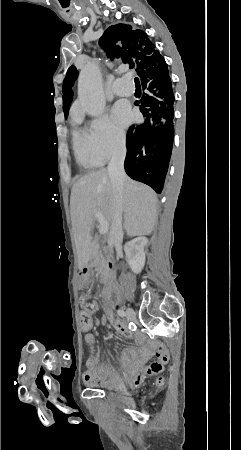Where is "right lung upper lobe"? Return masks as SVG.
<instances>
[{
	"label": "right lung upper lobe",
	"instance_id": "obj_1",
	"mask_svg": "<svg viewBox=\"0 0 241 450\" xmlns=\"http://www.w3.org/2000/svg\"><path fill=\"white\" fill-rule=\"evenodd\" d=\"M99 44L111 59L120 58L137 72L145 65L152 66L164 61L147 34L139 29L132 30L130 25L110 26L100 38ZM74 75H78V71L71 66L65 78Z\"/></svg>",
	"mask_w": 241,
	"mask_h": 450
}]
</instances>
